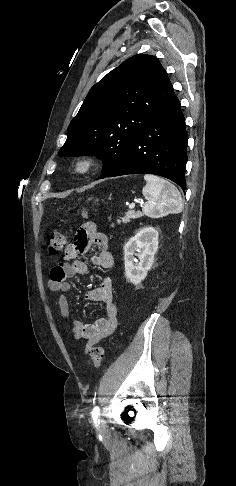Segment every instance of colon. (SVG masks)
I'll use <instances>...</instances> for the list:
<instances>
[{"instance_id":"obj_1","label":"colon","mask_w":236,"mask_h":486,"mask_svg":"<svg viewBox=\"0 0 236 486\" xmlns=\"http://www.w3.org/2000/svg\"><path fill=\"white\" fill-rule=\"evenodd\" d=\"M83 215H86V212H83ZM48 240L49 252L51 254H57L58 252L66 248L68 243V234L66 231L55 230L49 234ZM88 353L95 368H100L104 357L102 347L93 346L90 348Z\"/></svg>"}]
</instances>
